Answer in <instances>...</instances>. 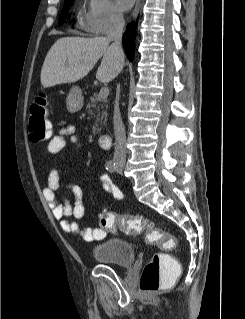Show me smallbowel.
Instances as JSON below:
<instances>
[{"label":"small bowel","mask_w":245,"mask_h":319,"mask_svg":"<svg viewBox=\"0 0 245 319\" xmlns=\"http://www.w3.org/2000/svg\"><path fill=\"white\" fill-rule=\"evenodd\" d=\"M77 143L76 128L68 125L59 130L48 143L47 150L50 154H57L65 146L66 142ZM100 183L104 191L115 199L121 195L119 189L112 183L106 174L100 176ZM60 187V174L57 168H52L47 177V185L43 190V197L48 204L54 218L60 222L61 228L71 234L80 233L83 240L87 242H97L103 240L107 232L101 227H88L82 231L77 222L70 220L71 217L80 219L83 217L85 207L83 204L82 188L75 183H67L66 191L70 194L64 196L62 201L57 200V192Z\"/></svg>","instance_id":"1"}]
</instances>
